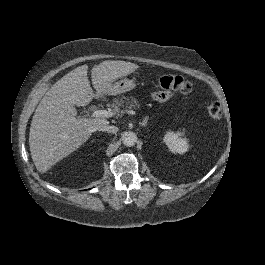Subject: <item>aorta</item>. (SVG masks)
Listing matches in <instances>:
<instances>
[{
    "mask_svg": "<svg viewBox=\"0 0 265 265\" xmlns=\"http://www.w3.org/2000/svg\"><path fill=\"white\" fill-rule=\"evenodd\" d=\"M122 141L125 146L128 147L134 146L135 143L137 142V135L132 131L125 132L122 135Z\"/></svg>",
    "mask_w": 265,
    "mask_h": 265,
    "instance_id": "aorta-1",
    "label": "aorta"
}]
</instances>
